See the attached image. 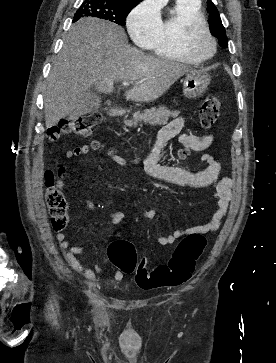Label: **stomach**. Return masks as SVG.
I'll list each match as a JSON object with an SVG mask.
<instances>
[{"label":"stomach","mask_w":276,"mask_h":363,"mask_svg":"<svg viewBox=\"0 0 276 363\" xmlns=\"http://www.w3.org/2000/svg\"><path fill=\"white\" fill-rule=\"evenodd\" d=\"M210 80V76L203 71L188 72L183 83L184 97L187 99L200 98L206 92Z\"/></svg>","instance_id":"1"}]
</instances>
